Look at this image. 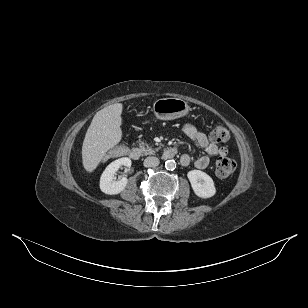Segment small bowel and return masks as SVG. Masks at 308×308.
<instances>
[{"label":"small bowel","instance_id":"c3829d8e","mask_svg":"<svg viewBox=\"0 0 308 308\" xmlns=\"http://www.w3.org/2000/svg\"><path fill=\"white\" fill-rule=\"evenodd\" d=\"M183 133L202 148L206 155L198 157L194 164L198 169H205L211 162V157H225L228 154L226 147H219L215 143L209 141L207 136L198 127L191 123H186L182 126ZM191 156L183 154L180 158L182 165L187 166L191 163Z\"/></svg>","mask_w":308,"mask_h":308}]
</instances>
